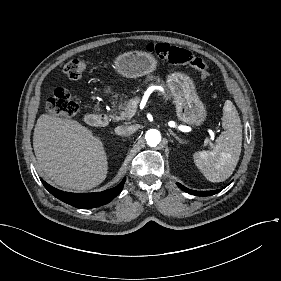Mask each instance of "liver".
<instances>
[{"label":"liver","instance_id":"6515ba94","mask_svg":"<svg viewBox=\"0 0 281 281\" xmlns=\"http://www.w3.org/2000/svg\"><path fill=\"white\" fill-rule=\"evenodd\" d=\"M33 148L42 171L61 187L90 190L106 179L103 143L78 121L41 115L34 128Z\"/></svg>","mask_w":281,"mask_h":281}]
</instances>
